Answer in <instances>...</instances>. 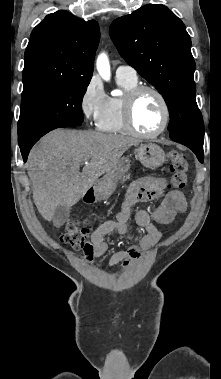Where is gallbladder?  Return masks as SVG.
I'll list each match as a JSON object with an SVG mask.
<instances>
[{"label":"gallbladder","instance_id":"gallbladder-1","mask_svg":"<svg viewBox=\"0 0 221 379\" xmlns=\"http://www.w3.org/2000/svg\"><path fill=\"white\" fill-rule=\"evenodd\" d=\"M70 215V207L65 205H58L54 211L53 224L55 226L63 225Z\"/></svg>","mask_w":221,"mask_h":379}]
</instances>
